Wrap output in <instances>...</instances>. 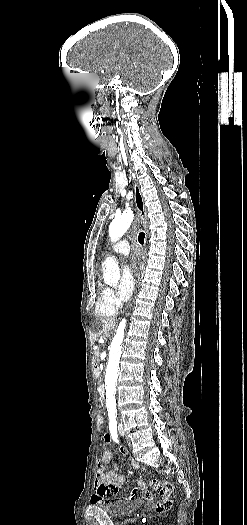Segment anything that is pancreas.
I'll use <instances>...</instances> for the list:
<instances>
[{"label":"pancreas","instance_id":"obj_1","mask_svg":"<svg viewBox=\"0 0 247 525\" xmlns=\"http://www.w3.org/2000/svg\"><path fill=\"white\" fill-rule=\"evenodd\" d=\"M96 355H98V352H94V355H93L94 361H97Z\"/></svg>","mask_w":247,"mask_h":525}]
</instances>
